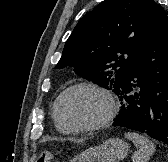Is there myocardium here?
Segmentation results:
<instances>
[{
  "label": "myocardium",
  "instance_id": "1",
  "mask_svg": "<svg viewBox=\"0 0 168 162\" xmlns=\"http://www.w3.org/2000/svg\"><path fill=\"white\" fill-rule=\"evenodd\" d=\"M78 89H89V90H93L99 94H101L107 101L108 103V110L106 115L104 116L103 119H101L100 121L93 123V124H89V125H80V126H74V125H70L68 123H66L61 114H60V105L61 102L63 100V98L69 94L72 91L78 90ZM53 114L55 117V120L57 121V123L66 131L68 132H92V131H98V130H102L106 127H108L110 125V123L112 122L113 118L115 117L116 114V103L114 100V97L112 96V94L110 93V91H108L106 88L99 86L97 84L94 83H89V82H81V83H77L74 84L68 88H66L56 99L55 103H54V108H53Z\"/></svg>",
  "mask_w": 168,
  "mask_h": 162
}]
</instances>
